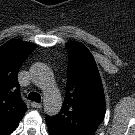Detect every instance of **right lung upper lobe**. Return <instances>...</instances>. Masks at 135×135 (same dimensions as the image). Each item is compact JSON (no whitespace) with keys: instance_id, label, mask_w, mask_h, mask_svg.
I'll list each match as a JSON object with an SVG mask.
<instances>
[{"instance_id":"cb5924a9","label":"right lung upper lobe","mask_w":135,"mask_h":135,"mask_svg":"<svg viewBox=\"0 0 135 135\" xmlns=\"http://www.w3.org/2000/svg\"><path fill=\"white\" fill-rule=\"evenodd\" d=\"M36 46L11 40L0 47V135H9L17 127L27 107L20 97L18 71Z\"/></svg>"}]
</instances>
